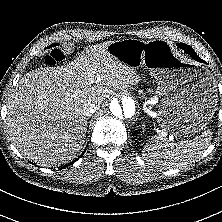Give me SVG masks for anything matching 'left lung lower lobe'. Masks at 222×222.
<instances>
[{"instance_id": "left-lung-lower-lobe-1", "label": "left lung lower lobe", "mask_w": 222, "mask_h": 222, "mask_svg": "<svg viewBox=\"0 0 222 222\" xmlns=\"http://www.w3.org/2000/svg\"><path fill=\"white\" fill-rule=\"evenodd\" d=\"M187 53H188L193 59H195V60H197V61H199V62H204V63H206V62L203 61L201 58H199L195 52L189 51V52H187Z\"/></svg>"}]
</instances>
